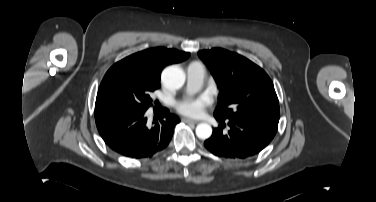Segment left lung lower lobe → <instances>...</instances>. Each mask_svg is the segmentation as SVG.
I'll use <instances>...</instances> for the list:
<instances>
[{"label": "left lung lower lobe", "mask_w": 376, "mask_h": 202, "mask_svg": "<svg viewBox=\"0 0 376 202\" xmlns=\"http://www.w3.org/2000/svg\"><path fill=\"white\" fill-rule=\"evenodd\" d=\"M221 126L204 142L214 155L224 158L245 159L258 154L274 138L277 127L250 119H226L215 117ZM227 123L228 131H223Z\"/></svg>", "instance_id": "obj_1"}]
</instances>
